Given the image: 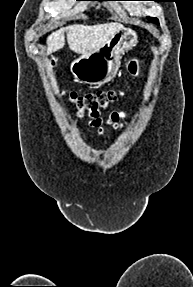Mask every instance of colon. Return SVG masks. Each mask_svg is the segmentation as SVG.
<instances>
[{
	"label": "colon",
	"instance_id": "obj_1",
	"mask_svg": "<svg viewBox=\"0 0 193 287\" xmlns=\"http://www.w3.org/2000/svg\"><path fill=\"white\" fill-rule=\"evenodd\" d=\"M128 70L132 75H136L139 71V60H130L128 62ZM62 94L67 96L68 100L74 104L79 112L88 113L93 118H98L99 114L105 111L119 96V92L115 90L98 91L84 95L62 91Z\"/></svg>",
	"mask_w": 193,
	"mask_h": 287
}]
</instances>
